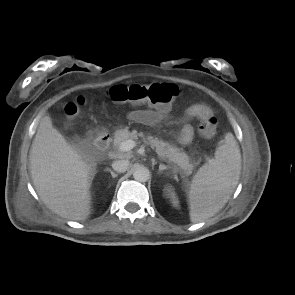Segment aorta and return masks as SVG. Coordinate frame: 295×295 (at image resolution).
<instances>
[{"instance_id": "1", "label": "aorta", "mask_w": 295, "mask_h": 295, "mask_svg": "<svg viewBox=\"0 0 295 295\" xmlns=\"http://www.w3.org/2000/svg\"><path fill=\"white\" fill-rule=\"evenodd\" d=\"M150 177V172L146 167L139 166L133 172V178L139 182H146Z\"/></svg>"}]
</instances>
